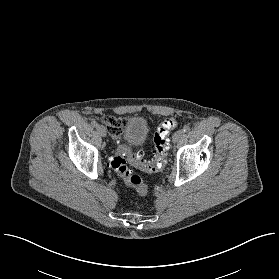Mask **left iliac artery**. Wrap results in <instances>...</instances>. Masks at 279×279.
<instances>
[{
  "instance_id": "obj_1",
  "label": "left iliac artery",
  "mask_w": 279,
  "mask_h": 279,
  "mask_svg": "<svg viewBox=\"0 0 279 279\" xmlns=\"http://www.w3.org/2000/svg\"><path fill=\"white\" fill-rule=\"evenodd\" d=\"M183 131H184V132H189V131H190V126H189V125H185V126L183 127Z\"/></svg>"
}]
</instances>
